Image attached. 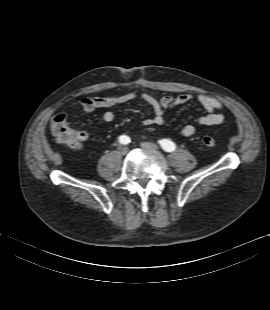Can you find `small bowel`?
I'll list each match as a JSON object with an SVG mask.
<instances>
[{"label":"small bowel","instance_id":"small-bowel-1","mask_svg":"<svg viewBox=\"0 0 270 310\" xmlns=\"http://www.w3.org/2000/svg\"><path fill=\"white\" fill-rule=\"evenodd\" d=\"M136 98L144 100L153 110V116L143 120L146 126H162L164 124V113L166 110L172 109L178 105L186 104L193 100L194 96L189 93L180 94L178 96L164 95L160 98L149 92H127L120 95L106 97H81L79 104L82 109L91 113L98 109H108L114 105L127 103ZM197 101L205 109L206 113L197 118V122L205 126H215L223 123L224 116L216 113L224 107L223 103L210 95L200 94L197 96ZM104 122L110 123L114 120L115 115L112 111L106 110L102 116ZM180 133L185 137H191L195 134L196 128L193 125L187 124L179 129ZM79 134V143L81 148L82 143L87 141L89 135L86 131H77Z\"/></svg>","mask_w":270,"mask_h":310}]
</instances>
